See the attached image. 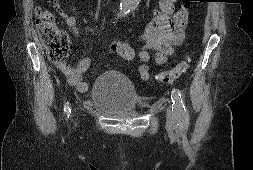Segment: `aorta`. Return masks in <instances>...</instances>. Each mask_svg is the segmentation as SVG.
Returning <instances> with one entry per match:
<instances>
[{"label":"aorta","instance_id":"1","mask_svg":"<svg viewBox=\"0 0 253 170\" xmlns=\"http://www.w3.org/2000/svg\"><path fill=\"white\" fill-rule=\"evenodd\" d=\"M140 0H121L120 12L122 15H126L130 11H133L139 5Z\"/></svg>","mask_w":253,"mask_h":170}]
</instances>
